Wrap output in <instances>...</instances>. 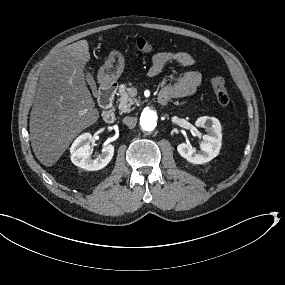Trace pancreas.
<instances>
[{"mask_svg":"<svg viewBox=\"0 0 285 285\" xmlns=\"http://www.w3.org/2000/svg\"><path fill=\"white\" fill-rule=\"evenodd\" d=\"M119 101V108L123 113L130 112L132 105L138 102L136 99L130 98L126 92L121 94Z\"/></svg>","mask_w":285,"mask_h":285,"instance_id":"pancreas-1","label":"pancreas"}]
</instances>
